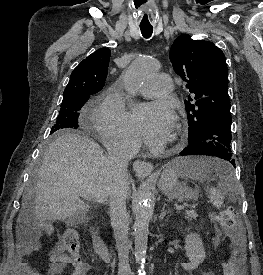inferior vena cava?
<instances>
[{
	"instance_id": "1",
	"label": "inferior vena cava",
	"mask_w": 263,
	"mask_h": 275,
	"mask_svg": "<svg viewBox=\"0 0 263 275\" xmlns=\"http://www.w3.org/2000/svg\"><path fill=\"white\" fill-rule=\"evenodd\" d=\"M107 159L111 169L113 184L110 191V217L118 251V275H132L129 265L130 241L128 238V214L126 197L129 190L127 166L134 157L131 143L119 140L107 146Z\"/></svg>"
}]
</instances>
